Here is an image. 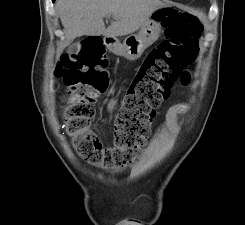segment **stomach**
<instances>
[{"instance_id":"1","label":"stomach","mask_w":245,"mask_h":225,"mask_svg":"<svg viewBox=\"0 0 245 225\" xmlns=\"http://www.w3.org/2000/svg\"><path fill=\"white\" fill-rule=\"evenodd\" d=\"M159 8L154 11L146 23L141 27L138 34L126 37L123 43L113 38L110 50L118 56H122L127 60L134 61L141 57L144 50L151 46L160 36L161 24L158 21L159 15L162 13Z\"/></svg>"}]
</instances>
